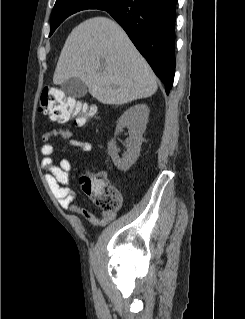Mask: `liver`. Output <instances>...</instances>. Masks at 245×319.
Segmentation results:
<instances>
[{"instance_id": "liver-1", "label": "liver", "mask_w": 245, "mask_h": 319, "mask_svg": "<svg viewBox=\"0 0 245 319\" xmlns=\"http://www.w3.org/2000/svg\"><path fill=\"white\" fill-rule=\"evenodd\" d=\"M80 78L99 102L122 105L157 91L146 60L114 20L86 19L69 34L58 59L53 83Z\"/></svg>"}]
</instances>
